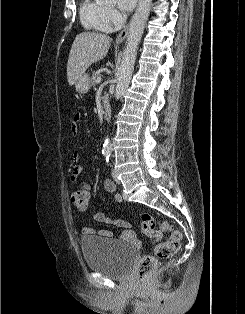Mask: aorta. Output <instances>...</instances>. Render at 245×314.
Segmentation results:
<instances>
[{"label":"aorta","instance_id":"1","mask_svg":"<svg viewBox=\"0 0 245 314\" xmlns=\"http://www.w3.org/2000/svg\"><path fill=\"white\" fill-rule=\"evenodd\" d=\"M100 2L108 0H97ZM152 0H139L136 12L134 13L128 30L126 47L123 53V59L119 68V77L115 90V98L119 100L126 92L137 56V49L141 40L145 24L151 11ZM112 152V143L107 137L103 144V154L110 155Z\"/></svg>","mask_w":245,"mask_h":314}]
</instances>
